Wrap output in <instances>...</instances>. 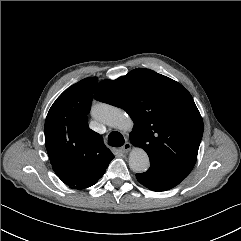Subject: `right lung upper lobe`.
Masks as SVG:
<instances>
[{
  "label": "right lung upper lobe",
  "mask_w": 241,
  "mask_h": 241,
  "mask_svg": "<svg viewBox=\"0 0 241 241\" xmlns=\"http://www.w3.org/2000/svg\"><path fill=\"white\" fill-rule=\"evenodd\" d=\"M97 83V78H85L66 89L51 106L45 121V142L53 166L102 173L114 158L102 136L87 124Z\"/></svg>",
  "instance_id": "obj_1"
}]
</instances>
